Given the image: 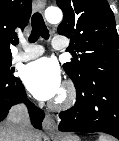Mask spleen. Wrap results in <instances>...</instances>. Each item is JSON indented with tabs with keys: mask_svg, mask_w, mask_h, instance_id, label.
<instances>
[{
	"mask_svg": "<svg viewBox=\"0 0 119 141\" xmlns=\"http://www.w3.org/2000/svg\"><path fill=\"white\" fill-rule=\"evenodd\" d=\"M98 141H110L109 139H107L106 137L104 136H101Z\"/></svg>",
	"mask_w": 119,
	"mask_h": 141,
	"instance_id": "spleen-1",
	"label": "spleen"
}]
</instances>
